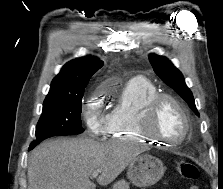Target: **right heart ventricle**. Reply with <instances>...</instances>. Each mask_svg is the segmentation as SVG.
<instances>
[{
    "instance_id": "obj_1",
    "label": "right heart ventricle",
    "mask_w": 223,
    "mask_h": 189,
    "mask_svg": "<svg viewBox=\"0 0 223 189\" xmlns=\"http://www.w3.org/2000/svg\"><path fill=\"white\" fill-rule=\"evenodd\" d=\"M157 93V88L144 78L128 81L106 117V137L128 142H153L140 132L137 119L144 104Z\"/></svg>"
}]
</instances>
